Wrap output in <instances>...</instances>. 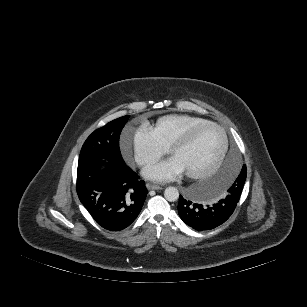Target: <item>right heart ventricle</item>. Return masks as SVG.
Masks as SVG:
<instances>
[{"label":"right heart ventricle","instance_id":"obj_1","mask_svg":"<svg viewBox=\"0 0 307 307\" xmlns=\"http://www.w3.org/2000/svg\"><path fill=\"white\" fill-rule=\"evenodd\" d=\"M208 121L205 118L194 115L171 114L159 118L151 129L161 142L170 146L192 127Z\"/></svg>","mask_w":307,"mask_h":307}]
</instances>
